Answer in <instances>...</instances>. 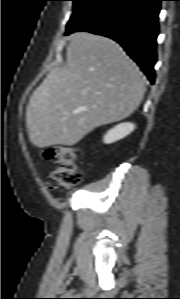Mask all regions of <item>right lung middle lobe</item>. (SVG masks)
I'll use <instances>...</instances> for the list:
<instances>
[{
  "label": "right lung middle lobe",
  "mask_w": 180,
  "mask_h": 299,
  "mask_svg": "<svg viewBox=\"0 0 180 299\" xmlns=\"http://www.w3.org/2000/svg\"><path fill=\"white\" fill-rule=\"evenodd\" d=\"M74 2L72 15L67 24V27L72 26L76 21L84 17L91 10H93L97 5H99L104 0H71Z\"/></svg>",
  "instance_id": "1"
}]
</instances>
